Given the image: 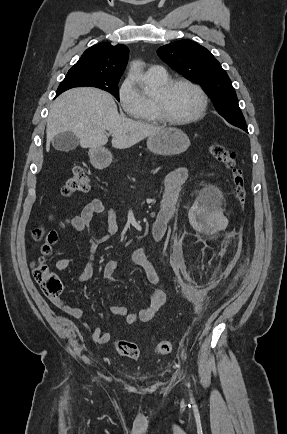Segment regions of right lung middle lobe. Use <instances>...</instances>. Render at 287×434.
Wrapping results in <instances>:
<instances>
[{"label": "right lung middle lobe", "mask_w": 287, "mask_h": 434, "mask_svg": "<svg viewBox=\"0 0 287 434\" xmlns=\"http://www.w3.org/2000/svg\"><path fill=\"white\" fill-rule=\"evenodd\" d=\"M119 79L120 78H107L78 72H68L65 79L59 85L56 94L59 95L73 87L91 86L111 93L119 101Z\"/></svg>", "instance_id": "dd1d6c3e"}]
</instances>
